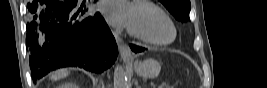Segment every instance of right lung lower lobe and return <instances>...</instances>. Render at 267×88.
<instances>
[{
	"label": "right lung lower lobe",
	"mask_w": 267,
	"mask_h": 88,
	"mask_svg": "<svg viewBox=\"0 0 267 88\" xmlns=\"http://www.w3.org/2000/svg\"><path fill=\"white\" fill-rule=\"evenodd\" d=\"M75 0H38L28 3L26 47L34 80L61 67L102 72L117 57V45L103 17L86 18Z\"/></svg>",
	"instance_id": "1"
}]
</instances>
